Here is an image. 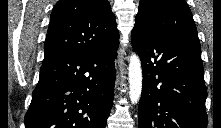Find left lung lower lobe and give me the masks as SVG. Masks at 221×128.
Instances as JSON below:
<instances>
[{
  "mask_svg": "<svg viewBox=\"0 0 221 128\" xmlns=\"http://www.w3.org/2000/svg\"><path fill=\"white\" fill-rule=\"evenodd\" d=\"M131 41L143 71L139 128H206L201 52L137 30Z\"/></svg>",
  "mask_w": 221,
  "mask_h": 128,
  "instance_id": "left-lung-lower-lobe-1",
  "label": "left lung lower lobe"
}]
</instances>
